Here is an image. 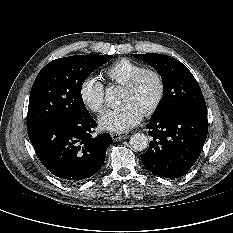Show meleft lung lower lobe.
Returning a JSON list of instances; mask_svg holds the SVG:
<instances>
[{
	"instance_id": "obj_1",
	"label": "left lung lower lobe",
	"mask_w": 233,
	"mask_h": 233,
	"mask_svg": "<svg viewBox=\"0 0 233 233\" xmlns=\"http://www.w3.org/2000/svg\"><path fill=\"white\" fill-rule=\"evenodd\" d=\"M153 137L141 155L144 166L156 175L178 178L199 157L208 133L207 111L184 109L151 120Z\"/></svg>"
}]
</instances>
